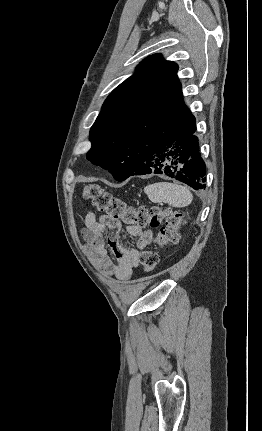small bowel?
<instances>
[{"mask_svg": "<svg viewBox=\"0 0 262 431\" xmlns=\"http://www.w3.org/2000/svg\"><path fill=\"white\" fill-rule=\"evenodd\" d=\"M83 238L95 266L119 281H129L138 265L139 251L152 242L154 229L126 226V232L138 239L136 248L127 250L119 242L122 224L109 216L96 218L93 212L85 216ZM111 250L114 262L108 256Z\"/></svg>", "mask_w": 262, "mask_h": 431, "instance_id": "obj_1", "label": "small bowel"}]
</instances>
